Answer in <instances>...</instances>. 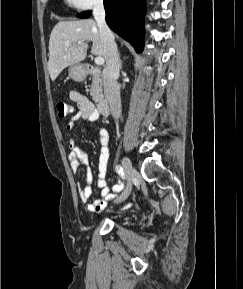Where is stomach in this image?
<instances>
[{
	"instance_id": "stomach-1",
	"label": "stomach",
	"mask_w": 243,
	"mask_h": 289,
	"mask_svg": "<svg viewBox=\"0 0 243 289\" xmlns=\"http://www.w3.org/2000/svg\"><path fill=\"white\" fill-rule=\"evenodd\" d=\"M68 72L69 77H71L74 81L80 82L86 77V69L82 64L71 65Z\"/></svg>"
}]
</instances>
